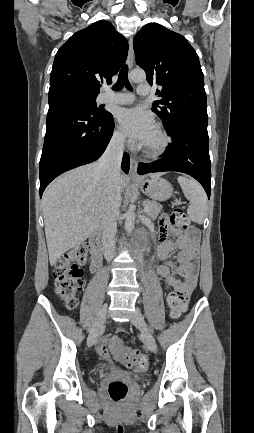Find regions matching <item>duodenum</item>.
Here are the masks:
<instances>
[{
  "label": "duodenum",
  "mask_w": 254,
  "mask_h": 433,
  "mask_svg": "<svg viewBox=\"0 0 254 433\" xmlns=\"http://www.w3.org/2000/svg\"><path fill=\"white\" fill-rule=\"evenodd\" d=\"M89 243L91 247L92 261L91 269L96 272L100 266L102 259V249H101V237L98 232L91 235L89 238Z\"/></svg>",
  "instance_id": "duodenum-1"
}]
</instances>
